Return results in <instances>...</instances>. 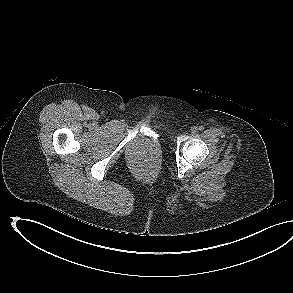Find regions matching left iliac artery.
Returning <instances> with one entry per match:
<instances>
[{
    "label": "left iliac artery",
    "mask_w": 293,
    "mask_h": 293,
    "mask_svg": "<svg viewBox=\"0 0 293 293\" xmlns=\"http://www.w3.org/2000/svg\"><path fill=\"white\" fill-rule=\"evenodd\" d=\"M199 130L200 131L204 130V127L203 126H199Z\"/></svg>",
    "instance_id": "obj_1"
}]
</instances>
